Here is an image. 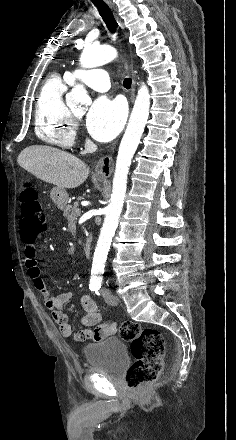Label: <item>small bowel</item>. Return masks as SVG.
I'll return each mask as SVG.
<instances>
[{
  "label": "small bowel",
  "mask_w": 236,
  "mask_h": 440,
  "mask_svg": "<svg viewBox=\"0 0 236 440\" xmlns=\"http://www.w3.org/2000/svg\"><path fill=\"white\" fill-rule=\"evenodd\" d=\"M23 247L28 275L36 289L41 293L44 306L51 311L53 320L57 323L61 335L64 337L72 335L78 342L88 339L105 342L107 338L112 337V332L106 330H113L115 327L114 322L101 321V313L94 300L88 295H83L80 300L81 306L85 311L80 322L85 328L72 326L71 316L64 311L65 305L72 298V293L62 292L57 296H52L38 266L35 246L33 243L24 241Z\"/></svg>",
  "instance_id": "1"
}]
</instances>
